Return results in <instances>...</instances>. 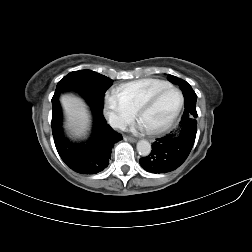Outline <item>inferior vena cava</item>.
I'll use <instances>...</instances> for the list:
<instances>
[{
	"label": "inferior vena cava",
	"instance_id": "inferior-vena-cava-1",
	"mask_svg": "<svg viewBox=\"0 0 252 252\" xmlns=\"http://www.w3.org/2000/svg\"><path fill=\"white\" fill-rule=\"evenodd\" d=\"M107 116H108V122L112 127L120 128L122 130L125 129L126 125L116 115L108 113Z\"/></svg>",
	"mask_w": 252,
	"mask_h": 252
}]
</instances>
